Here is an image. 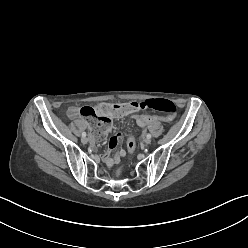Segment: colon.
Masks as SVG:
<instances>
[{
	"instance_id": "obj_1",
	"label": "colon",
	"mask_w": 248,
	"mask_h": 248,
	"mask_svg": "<svg viewBox=\"0 0 248 248\" xmlns=\"http://www.w3.org/2000/svg\"><path fill=\"white\" fill-rule=\"evenodd\" d=\"M140 109H151L167 113V115L159 114H135L132 113L129 119L136 123L139 127L146 129L149 125H159L162 121L170 123L177 113V107L168 99H149L142 102L128 103H103L99 107L84 106L80 108V115L91 120V133L95 141L101 142L110 133L111 118L124 116L128 111H136ZM135 138L130 135L127 139V150L130 153L135 151ZM122 173V169L118 174Z\"/></svg>"
}]
</instances>
